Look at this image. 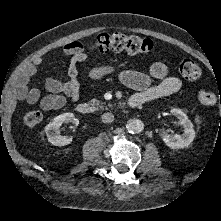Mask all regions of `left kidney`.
<instances>
[{
    "label": "left kidney",
    "mask_w": 221,
    "mask_h": 221,
    "mask_svg": "<svg viewBox=\"0 0 221 221\" xmlns=\"http://www.w3.org/2000/svg\"><path fill=\"white\" fill-rule=\"evenodd\" d=\"M171 114L176 116V118L179 120L178 124L183 126L184 133L182 135L164 134L163 135L164 143L172 149H180L188 147L195 138V131L193 129L194 125L188 119V116L180 109L177 108L171 109Z\"/></svg>",
    "instance_id": "1"
}]
</instances>
